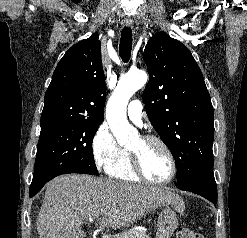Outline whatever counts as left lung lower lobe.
<instances>
[{"label": "left lung lower lobe", "instance_id": "0a47b994", "mask_svg": "<svg viewBox=\"0 0 247 238\" xmlns=\"http://www.w3.org/2000/svg\"><path fill=\"white\" fill-rule=\"evenodd\" d=\"M180 189L201 195L214 204L217 202V186L213 173L198 176Z\"/></svg>", "mask_w": 247, "mask_h": 238}]
</instances>
